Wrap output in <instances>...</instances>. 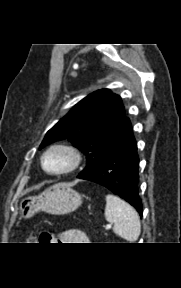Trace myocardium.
<instances>
[{
    "instance_id": "myocardium-1",
    "label": "myocardium",
    "mask_w": 181,
    "mask_h": 288,
    "mask_svg": "<svg viewBox=\"0 0 181 288\" xmlns=\"http://www.w3.org/2000/svg\"><path fill=\"white\" fill-rule=\"evenodd\" d=\"M55 151H60L65 153L69 158V164L62 170L59 171H49L45 166L46 157ZM41 167L45 173L52 176H63L70 174L78 169L82 162V154L80 150L72 144L69 143H55L50 145L41 155Z\"/></svg>"
}]
</instances>
